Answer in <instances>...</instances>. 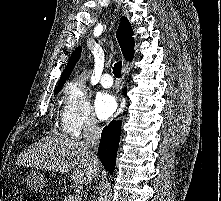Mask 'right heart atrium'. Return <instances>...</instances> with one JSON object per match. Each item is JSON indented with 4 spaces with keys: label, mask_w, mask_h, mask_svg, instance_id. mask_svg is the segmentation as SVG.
Here are the masks:
<instances>
[{
    "label": "right heart atrium",
    "mask_w": 221,
    "mask_h": 201,
    "mask_svg": "<svg viewBox=\"0 0 221 201\" xmlns=\"http://www.w3.org/2000/svg\"><path fill=\"white\" fill-rule=\"evenodd\" d=\"M97 125V119L84 87L77 82L69 84L66 88V98L61 114L62 130L76 136L83 131L95 129Z\"/></svg>",
    "instance_id": "obj_1"
}]
</instances>
